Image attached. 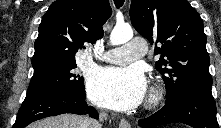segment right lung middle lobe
<instances>
[{
    "label": "right lung middle lobe",
    "instance_id": "right-lung-middle-lobe-1",
    "mask_svg": "<svg viewBox=\"0 0 221 128\" xmlns=\"http://www.w3.org/2000/svg\"><path fill=\"white\" fill-rule=\"evenodd\" d=\"M76 63L34 74L26 95L50 88H67L78 93H85L84 79L75 72Z\"/></svg>",
    "mask_w": 221,
    "mask_h": 128
}]
</instances>
